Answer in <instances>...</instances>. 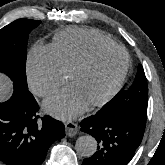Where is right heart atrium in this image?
<instances>
[{
  "label": "right heart atrium",
  "instance_id": "right-heart-atrium-1",
  "mask_svg": "<svg viewBox=\"0 0 165 165\" xmlns=\"http://www.w3.org/2000/svg\"><path fill=\"white\" fill-rule=\"evenodd\" d=\"M27 78L33 92L44 97L63 85L67 75L50 46L35 45L28 56Z\"/></svg>",
  "mask_w": 165,
  "mask_h": 165
}]
</instances>
